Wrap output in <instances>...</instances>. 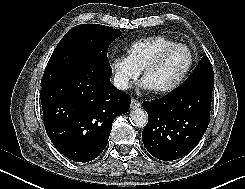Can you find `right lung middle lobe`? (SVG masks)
<instances>
[{
  "mask_svg": "<svg viewBox=\"0 0 245 189\" xmlns=\"http://www.w3.org/2000/svg\"><path fill=\"white\" fill-rule=\"evenodd\" d=\"M122 33L112 27L84 24L72 28L58 43L46 66L41 87L51 85L90 62L109 63L110 43Z\"/></svg>",
  "mask_w": 245,
  "mask_h": 189,
  "instance_id": "obj_1",
  "label": "right lung middle lobe"
}]
</instances>
